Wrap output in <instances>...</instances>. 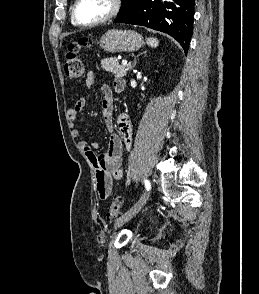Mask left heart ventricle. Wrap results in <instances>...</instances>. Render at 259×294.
Here are the masks:
<instances>
[{"label": "left heart ventricle", "instance_id": "1", "mask_svg": "<svg viewBox=\"0 0 259 294\" xmlns=\"http://www.w3.org/2000/svg\"><path fill=\"white\" fill-rule=\"evenodd\" d=\"M111 9V0H81L77 7V18L82 23L94 22Z\"/></svg>", "mask_w": 259, "mask_h": 294}]
</instances>
